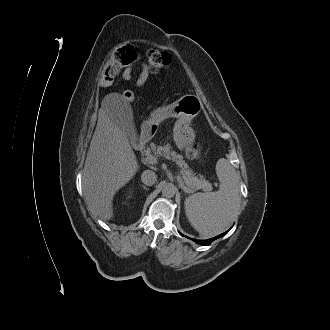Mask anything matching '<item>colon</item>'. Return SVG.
Segmentation results:
<instances>
[{"instance_id": "colon-1", "label": "colon", "mask_w": 330, "mask_h": 330, "mask_svg": "<svg viewBox=\"0 0 330 330\" xmlns=\"http://www.w3.org/2000/svg\"><path fill=\"white\" fill-rule=\"evenodd\" d=\"M137 53L131 45H125L115 50L101 71V82L109 84L114 81L117 75L126 67L132 65ZM146 61L152 72L166 69L171 65L172 58L168 52L151 49L146 53ZM122 97L127 101L134 99L132 91L122 92ZM187 155L193 159L201 157V147L198 144L192 145L187 149Z\"/></svg>"}]
</instances>
